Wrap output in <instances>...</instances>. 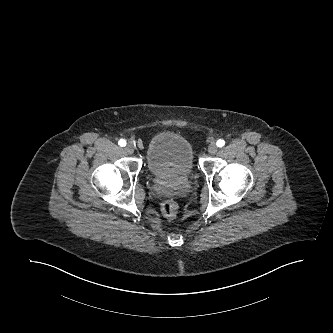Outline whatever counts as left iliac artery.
I'll return each mask as SVG.
<instances>
[{
	"label": "left iliac artery",
	"instance_id": "left-iliac-artery-1",
	"mask_svg": "<svg viewBox=\"0 0 333 333\" xmlns=\"http://www.w3.org/2000/svg\"><path fill=\"white\" fill-rule=\"evenodd\" d=\"M216 145L218 147H223L225 145V141L223 139H219L217 142H216Z\"/></svg>",
	"mask_w": 333,
	"mask_h": 333
}]
</instances>
